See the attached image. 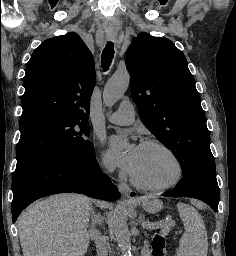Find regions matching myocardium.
Returning a JSON list of instances; mask_svg holds the SVG:
<instances>
[{
	"instance_id": "f54148a6",
	"label": "myocardium",
	"mask_w": 236,
	"mask_h": 256,
	"mask_svg": "<svg viewBox=\"0 0 236 256\" xmlns=\"http://www.w3.org/2000/svg\"><path fill=\"white\" fill-rule=\"evenodd\" d=\"M141 147H158L163 149L164 151H166L174 160L176 166H177V174L176 176L168 183L164 184V185H160V186H147L144 185L142 183H140L133 175L131 172H129V181L132 184L133 187H135L136 189L143 191V192H147V193H159V192H163L165 190H168L174 186H176L183 178L184 175V166L183 163L180 159V157L178 156V154L167 144L158 141V140H148V141H144L141 144Z\"/></svg>"
}]
</instances>
